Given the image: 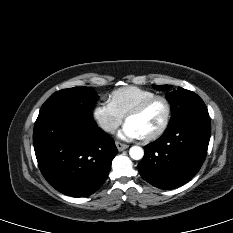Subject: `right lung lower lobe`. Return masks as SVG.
<instances>
[{
  "instance_id": "right-lung-lower-lobe-1",
  "label": "right lung lower lobe",
  "mask_w": 233,
  "mask_h": 233,
  "mask_svg": "<svg viewBox=\"0 0 233 233\" xmlns=\"http://www.w3.org/2000/svg\"><path fill=\"white\" fill-rule=\"evenodd\" d=\"M33 143L44 178L59 192L73 197L97 191L117 154L114 140L93 119L69 112L38 116Z\"/></svg>"
}]
</instances>
